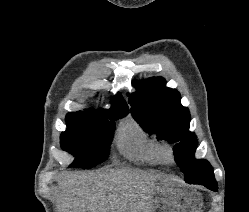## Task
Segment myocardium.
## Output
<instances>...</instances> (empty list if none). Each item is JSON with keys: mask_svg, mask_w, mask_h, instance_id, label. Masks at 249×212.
<instances>
[{"mask_svg": "<svg viewBox=\"0 0 249 212\" xmlns=\"http://www.w3.org/2000/svg\"><path fill=\"white\" fill-rule=\"evenodd\" d=\"M163 153L168 161H172L174 159V151L170 146H164Z\"/></svg>", "mask_w": 249, "mask_h": 212, "instance_id": "1", "label": "myocardium"}]
</instances>
